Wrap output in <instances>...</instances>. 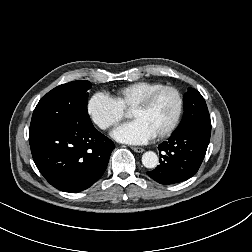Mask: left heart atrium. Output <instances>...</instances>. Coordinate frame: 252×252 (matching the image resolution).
I'll use <instances>...</instances> for the list:
<instances>
[{
	"label": "left heart atrium",
	"instance_id": "left-heart-atrium-1",
	"mask_svg": "<svg viewBox=\"0 0 252 252\" xmlns=\"http://www.w3.org/2000/svg\"><path fill=\"white\" fill-rule=\"evenodd\" d=\"M113 137L127 144H144L155 137L153 130L141 120H133L117 127Z\"/></svg>",
	"mask_w": 252,
	"mask_h": 252
}]
</instances>
